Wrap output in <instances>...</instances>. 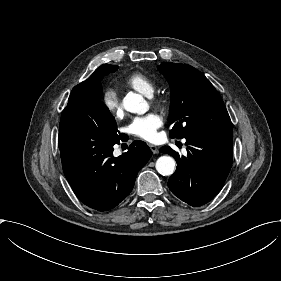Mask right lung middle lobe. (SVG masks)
I'll use <instances>...</instances> for the list:
<instances>
[{
	"label": "right lung middle lobe",
	"mask_w": 281,
	"mask_h": 281,
	"mask_svg": "<svg viewBox=\"0 0 281 281\" xmlns=\"http://www.w3.org/2000/svg\"><path fill=\"white\" fill-rule=\"evenodd\" d=\"M117 69H118V66H116L113 71H116ZM101 92H102V90H101ZM101 92H100V95H101Z\"/></svg>",
	"instance_id": "dd1d6c3e"
}]
</instances>
